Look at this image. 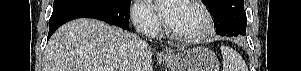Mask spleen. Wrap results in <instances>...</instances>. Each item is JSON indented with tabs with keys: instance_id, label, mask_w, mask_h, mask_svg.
<instances>
[{
	"instance_id": "obj_1",
	"label": "spleen",
	"mask_w": 301,
	"mask_h": 71,
	"mask_svg": "<svg viewBox=\"0 0 301 71\" xmlns=\"http://www.w3.org/2000/svg\"><path fill=\"white\" fill-rule=\"evenodd\" d=\"M223 71H248L243 58L229 46H221Z\"/></svg>"
}]
</instances>
